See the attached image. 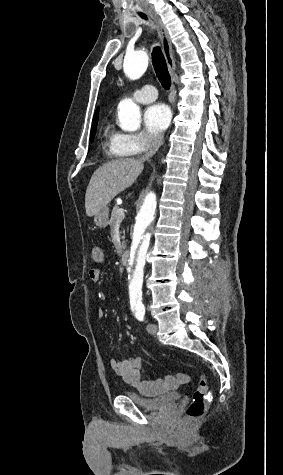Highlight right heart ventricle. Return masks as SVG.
<instances>
[{
	"mask_svg": "<svg viewBox=\"0 0 283 475\" xmlns=\"http://www.w3.org/2000/svg\"><path fill=\"white\" fill-rule=\"evenodd\" d=\"M119 131L110 120H107L103 123L101 127V135L103 139V147L106 150V153L109 158L118 157L114 150V142L119 135Z\"/></svg>",
	"mask_w": 283,
	"mask_h": 475,
	"instance_id": "e07e8e85",
	"label": "right heart ventricle"
}]
</instances>
